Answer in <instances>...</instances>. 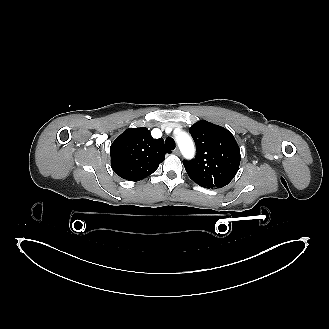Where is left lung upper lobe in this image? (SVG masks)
I'll return each mask as SVG.
<instances>
[{
  "label": "left lung upper lobe",
  "mask_w": 329,
  "mask_h": 329,
  "mask_svg": "<svg viewBox=\"0 0 329 329\" xmlns=\"http://www.w3.org/2000/svg\"><path fill=\"white\" fill-rule=\"evenodd\" d=\"M196 145L195 159L184 161L189 177L205 188H222L236 175L240 149L225 128L200 120L189 129Z\"/></svg>",
  "instance_id": "1"
}]
</instances>
